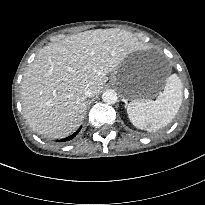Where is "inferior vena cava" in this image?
Segmentation results:
<instances>
[{
	"mask_svg": "<svg viewBox=\"0 0 205 205\" xmlns=\"http://www.w3.org/2000/svg\"><path fill=\"white\" fill-rule=\"evenodd\" d=\"M83 93L86 97H93L94 96V90L91 86H86L83 89Z\"/></svg>",
	"mask_w": 205,
	"mask_h": 205,
	"instance_id": "obj_1",
	"label": "inferior vena cava"
}]
</instances>
